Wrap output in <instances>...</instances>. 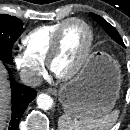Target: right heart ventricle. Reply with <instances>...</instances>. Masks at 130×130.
Segmentation results:
<instances>
[{"mask_svg":"<svg viewBox=\"0 0 130 130\" xmlns=\"http://www.w3.org/2000/svg\"><path fill=\"white\" fill-rule=\"evenodd\" d=\"M63 21L39 26L27 33L22 43L26 51L35 59L45 62L52 44L53 37Z\"/></svg>","mask_w":130,"mask_h":130,"instance_id":"right-heart-ventricle-1","label":"right heart ventricle"}]
</instances>
